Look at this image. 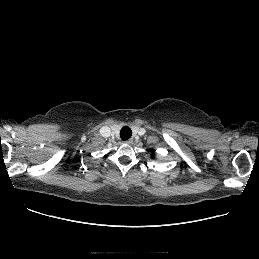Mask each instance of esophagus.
<instances>
[{
	"mask_svg": "<svg viewBox=\"0 0 259 259\" xmlns=\"http://www.w3.org/2000/svg\"><path fill=\"white\" fill-rule=\"evenodd\" d=\"M132 142H133V139H129V140L126 141V143H128V144H130Z\"/></svg>",
	"mask_w": 259,
	"mask_h": 259,
	"instance_id": "esophagus-1",
	"label": "esophagus"
}]
</instances>
